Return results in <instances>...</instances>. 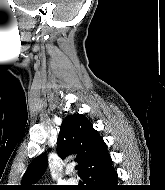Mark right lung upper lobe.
<instances>
[{
    "label": "right lung upper lobe",
    "mask_w": 165,
    "mask_h": 190,
    "mask_svg": "<svg viewBox=\"0 0 165 190\" xmlns=\"http://www.w3.org/2000/svg\"><path fill=\"white\" fill-rule=\"evenodd\" d=\"M56 152L61 158L77 154L79 175L96 166L108 155L107 146L89 120L82 114L65 118L60 126ZM47 167V156L36 157L28 166L21 181L20 190H40L47 186L33 185Z\"/></svg>",
    "instance_id": "obj_1"
}]
</instances>
